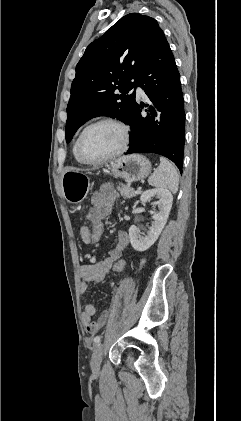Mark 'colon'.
<instances>
[{
	"label": "colon",
	"mask_w": 241,
	"mask_h": 421,
	"mask_svg": "<svg viewBox=\"0 0 241 421\" xmlns=\"http://www.w3.org/2000/svg\"><path fill=\"white\" fill-rule=\"evenodd\" d=\"M86 217L90 223L89 226V237H88V243L89 244H96L98 243L104 234V225L102 222V219L97 217L94 213V210L92 208H89L86 213ZM127 268V262L124 259H117L114 261L111 270L115 274H121L123 273Z\"/></svg>",
	"instance_id": "obj_1"
}]
</instances>
